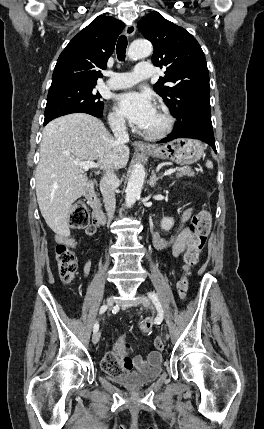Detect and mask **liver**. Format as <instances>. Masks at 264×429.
<instances>
[{
  "instance_id": "1",
  "label": "liver",
  "mask_w": 264,
  "mask_h": 429,
  "mask_svg": "<svg viewBox=\"0 0 264 429\" xmlns=\"http://www.w3.org/2000/svg\"><path fill=\"white\" fill-rule=\"evenodd\" d=\"M97 161L98 167H125L129 148L118 143L96 117L72 113L48 123L40 144L36 169V195L47 225L59 236H68V213L88 181L74 161Z\"/></svg>"
}]
</instances>
